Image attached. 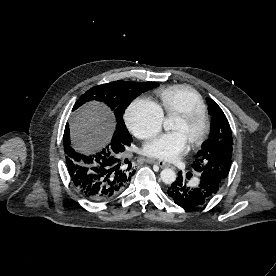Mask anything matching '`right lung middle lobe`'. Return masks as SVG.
<instances>
[{
	"mask_svg": "<svg viewBox=\"0 0 276 276\" xmlns=\"http://www.w3.org/2000/svg\"><path fill=\"white\" fill-rule=\"evenodd\" d=\"M155 82H126L115 81L95 86L86 91L75 103L73 110L90 101L105 103L114 112L117 120L116 130L112 142L129 145L132 141L131 135L126 129L123 121V113L128 105L141 93L157 87Z\"/></svg>",
	"mask_w": 276,
	"mask_h": 276,
	"instance_id": "right-lung-middle-lobe-1",
	"label": "right lung middle lobe"
}]
</instances>
